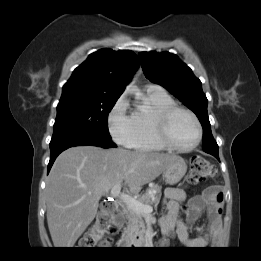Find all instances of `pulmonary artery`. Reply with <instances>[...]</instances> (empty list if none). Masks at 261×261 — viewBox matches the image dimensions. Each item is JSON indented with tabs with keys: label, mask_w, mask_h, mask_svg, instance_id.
Listing matches in <instances>:
<instances>
[{
	"label": "pulmonary artery",
	"mask_w": 261,
	"mask_h": 261,
	"mask_svg": "<svg viewBox=\"0 0 261 261\" xmlns=\"http://www.w3.org/2000/svg\"><path fill=\"white\" fill-rule=\"evenodd\" d=\"M146 90H149V91H161L162 88L156 84H148L146 85Z\"/></svg>",
	"instance_id": "pulmonary-artery-1"
}]
</instances>
